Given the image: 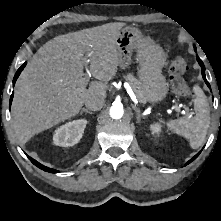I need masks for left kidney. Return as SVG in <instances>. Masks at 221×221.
Wrapping results in <instances>:
<instances>
[{"mask_svg": "<svg viewBox=\"0 0 221 221\" xmlns=\"http://www.w3.org/2000/svg\"><path fill=\"white\" fill-rule=\"evenodd\" d=\"M150 130L153 135L159 136L162 130L161 123H154L150 125Z\"/></svg>", "mask_w": 221, "mask_h": 221, "instance_id": "left-kidney-1", "label": "left kidney"}]
</instances>
